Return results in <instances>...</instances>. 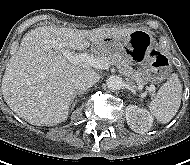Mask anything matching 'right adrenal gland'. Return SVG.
<instances>
[{
    "mask_svg": "<svg viewBox=\"0 0 190 165\" xmlns=\"http://www.w3.org/2000/svg\"><path fill=\"white\" fill-rule=\"evenodd\" d=\"M83 94H84V91H75V92H74V95H73L72 100H71V104H72L71 109H72V110L74 109L76 103L78 102L77 99L74 101V99L76 98V96H77V95H78V96H81V95H83Z\"/></svg>",
    "mask_w": 190,
    "mask_h": 165,
    "instance_id": "1",
    "label": "right adrenal gland"
}]
</instances>
